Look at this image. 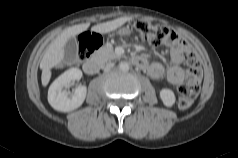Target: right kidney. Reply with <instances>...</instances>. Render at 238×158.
I'll return each instance as SVG.
<instances>
[{
	"label": "right kidney",
	"mask_w": 238,
	"mask_h": 158,
	"mask_svg": "<svg viewBox=\"0 0 238 158\" xmlns=\"http://www.w3.org/2000/svg\"><path fill=\"white\" fill-rule=\"evenodd\" d=\"M82 71L78 68H71L61 74L49 87L48 102L53 109L60 112H70L80 107L87 93L86 86H78L74 93L69 96V92L62 91L63 87L70 84L71 81L80 80Z\"/></svg>",
	"instance_id": "obj_1"
}]
</instances>
